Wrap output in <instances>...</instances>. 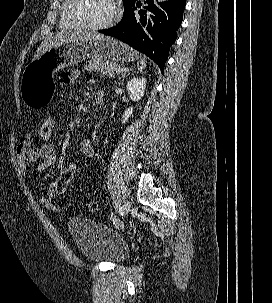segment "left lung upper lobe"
Returning <instances> with one entry per match:
<instances>
[{
    "label": "left lung upper lobe",
    "instance_id": "left-lung-upper-lobe-1",
    "mask_svg": "<svg viewBox=\"0 0 272 303\" xmlns=\"http://www.w3.org/2000/svg\"><path fill=\"white\" fill-rule=\"evenodd\" d=\"M136 0H123L124 3V9L132 5Z\"/></svg>",
    "mask_w": 272,
    "mask_h": 303
}]
</instances>
